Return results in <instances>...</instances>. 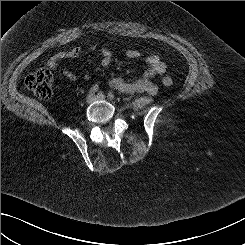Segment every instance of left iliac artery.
<instances>
[{
	"mask_svg": "<svg viewBox=\"0 0 245 245\" xmlns=\"http://www.w3.org/2000/svg\"><path fill=\"white\" fill-rule=\"evenodd\" d=\"M107 97L111 100L115 99V95L112 92H109Z\"/></svg>",
	"mask_w": 245,
	"mask_h": 245,
	"instance_id": "left-iliac-artery-1",
	"label": "left iliac artery"
}]
</instances>
